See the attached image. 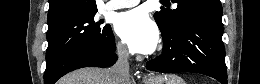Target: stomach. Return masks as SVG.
Here are the masks:
<instances>
[{"mask_svg": "<svg viewBox=\"0 0 260 84\" xmlns=\"http://www.w3.org/2000/svg\"><path fill=\"white\" fill-rule=\"evenodd\" d=\"M146 84H186L185 81L176 74H162L147 81Z\"/></svg>", "mask_w": 260, "mask_h": 84, "instance_id": "1", "label": "stomach"}]
</instances>
